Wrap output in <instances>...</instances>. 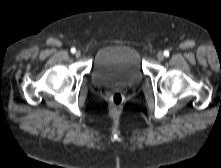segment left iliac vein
Returning a JSON list of instances; mask_svg holds the SVG:
<instances>
[{
	"label": "left iliac vein",
	"mask_w": 221,
	"mask_h": 168,
	"mask_svg": "<svg viewBox=\"0 0 221 168\" xmlns=\"http://www.w3.org/2000/svg\"><path fill=\"white\" fill-rule=\"evenodd\" d=\"M164 57H165V55L163 52H158V54H157L158 60L162 61L164 59Z\"/></svg>",
	"instance_id": "1"
}]
</instances>
